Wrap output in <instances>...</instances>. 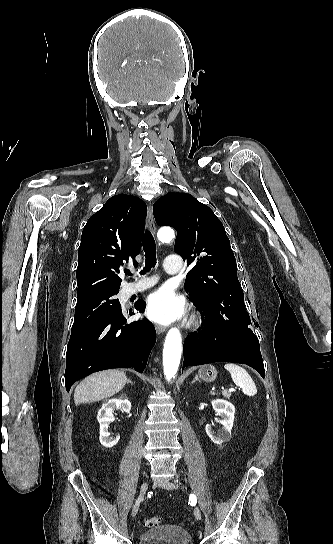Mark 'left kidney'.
<instances>
[{"label": "left kidney", "instance_id": "1", "mask_svg": "<svg viewBox=\"0 0 333 544\" xmlns=\"http://www.w3.org/2000/svg\"><path fill=\"white\" fill-rule=\"evenodd\" d=\"M211 403L213 409L220 417L218 422L222 425V429L216 434L212 430L211 424H207L205 430L212 442L220 445L231 439V430L235 418V407L230 402L222 399L213 400Z\"/></svg>", "mask_w": 333, "mask_h": 544}]
</instances>
